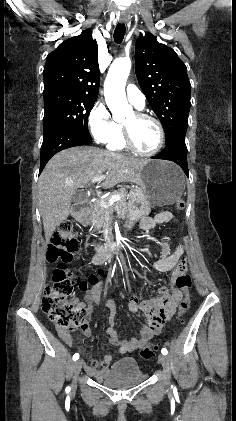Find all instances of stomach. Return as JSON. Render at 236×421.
<instances>
[{
    "instance_id": "0dacf381",
    "label": "stomach",
    "mask_w": 236,
    "mask_h": 421,
    "mask_svg": "<svg viewBox=\"0 0 236 421\" xmlns=\"http://www.w3.org/2000/svg\"><path fill=\"white\" fill-rule=\"evenodd\" d=\"M184 188L185 178L179 166L148 158L139 168L135 188L130 190L124 227L132 229L137 221L149 215L152 206L173 204L181 198Z\"/></svg>"
}]
</instances>
